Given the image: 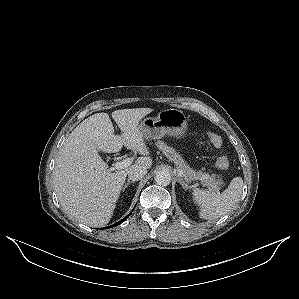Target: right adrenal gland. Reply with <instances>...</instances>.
I'll return each mask as SVG.
<instances>
[{
    "instance_id": "1",
    "label": "right adrenal gland",
    "mask_w": 299,
    "mask_h": 299,
    "mask_svg": "<svg viewBox=\"0 0 299 299\" xmlns=\"http://www.w3.org/2000/svg\"><path fill=\"white\" fill-rule=\"evenodd\" d=\"M130 183H133V181L128 180V181L125 183L124 187L122 188V191H123V192L125 191V189L128 187V185H129Z\"/></svg>"
}]
</instances>
